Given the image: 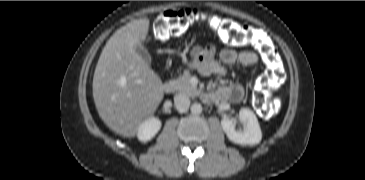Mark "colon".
<instances>
[{
    "label": "colon",
    "instance_id": "5ec220e1",
    "mask_svg": "<svg viewBox=\"0 0 365 180\" xmlns=\"http://www.w3.org/2000/svg\"><path fill=\"white\" fill-rule=\"evenodd\" d=\"M201 22L207 23L218 33L221 40L230 46L249 45L255 36V31L250 27H236L213 13L183 8L162 11L155 20L148 38L152 41L163 42L184 35L191 27ZM259 52L268 61L269 70L260 80V89L257 91L256 97L260 104L267 106V112L273 114L277 105L269 101V96L282 84L283 70L275 53L269 47L263 46Z\"/></svg>",
    "mask_w": 365,
    "mask_h": 180
}]
</instances>
